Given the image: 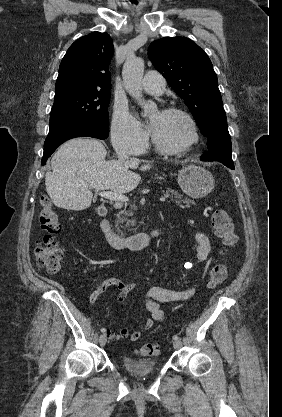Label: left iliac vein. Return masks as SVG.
Here are the masks:
<instances>
[{
  "label": "left iliac vein",
  "mask_w": 282,
  "mask_h": 417,
  "mask_svg": "<svg viewBox=\"0 0 282 417\" xmlns=\"http://www.w3.org/2000/svg\"><path fill=\"white\" fill-rule=\"evenodd\" d=\"M181 346H182V342H181L180 340H175V341L173 342V347H174L175 349H180V348H181Z\"/></svg>",
  "instance_id": "1"
}]
</instances>
